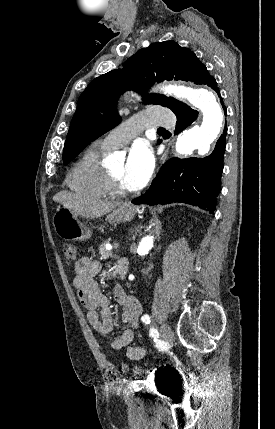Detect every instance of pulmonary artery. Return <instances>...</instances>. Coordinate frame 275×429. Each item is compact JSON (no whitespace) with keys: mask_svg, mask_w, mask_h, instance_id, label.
Wrapping results in <instances>:
<instances>
[{"mask_svg":"<svg viewBox=\"0 0 275 429\" xmlns=\"http://www.w3.org/2000/svg\"><path fill=\"white\" fill-rule=\"evenodd\" d=\"M175 122V117L163 109H149L133 116L124 126L111 131L101 143L108 149L123 146L135 137L143 127H169Z\"/></svg>","mask_w":275,"mask_h":429,"instance_id":"pulmonary-artery-1","label":"pulmonary artery"}]
</instances>
